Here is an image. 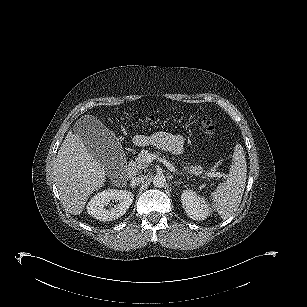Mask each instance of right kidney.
Wrapping results in <instances>:
<instances>
[{
	"mask_svg": "<svg viewBox=\"0 0 307 307\" xmlns=\"http://www.w3.org/2000/svg\"><path fill=\"white\" fill-rule=\"evenodd\" d=\"M133 200L134 195L130 191L116 189L104 190L96 194L88 202L87 212L100 221L115 220L126 213ZM110 201L116 204L111 205Z\"/></svg>",
	"mask_w": 307,
	"mask_h": 307,
	"instance_id": "1",
	"label": "right kidney"
}]
</instances>
